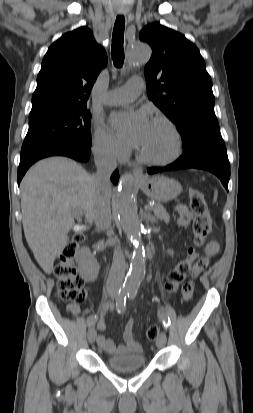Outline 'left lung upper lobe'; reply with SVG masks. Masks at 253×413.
Returning a JSON list of instances; mask_svg holds the SVG:
<instances>
[{
  "mask_svg": "<svg viewBox=\"0 0 253 413\" xmlns=\"http://www.w3.org/2000/svg\"><path fill=\"white\" fill-rule=\"evenodd\" d=\"M139 38L152 48L145 66L148 98L176 124L183 155L225 146L214 113L212 80L198 48L158 22L145 26Z\"/></svg>",
  "mask_w": 253,
  "mask_h": 413,
  "instance_id": "left-lung-upper-lobe-1",
  "label": "left lung upper lobe"
}]
</instances>
